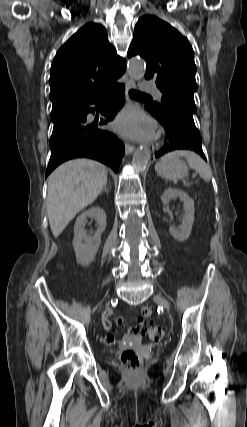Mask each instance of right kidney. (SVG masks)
<instances>
[{
    "instance_id": "obj_1",
    "label": "right kidney",
    "mask_w": 247,
    "mask_h": 427,
    "mask_svg": "<svg viewBox=\"0 0 247 427\" xmlns=\"http://www.w3.org/2000/svg\"><path fill=\"white\" fill-rule=\"evenodd\" d=\"M94 218L98 223V229L93 236H89L84 230L87 218ZM106 228V213L100 207H92L84 211L74 225L73 247L77 262L82 266L89 265L96 256L101 243V234Z\"/></svg>"
}]
</instances>
